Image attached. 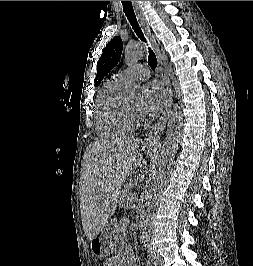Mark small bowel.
Returning <instances> with one entry per match:
<instances>
[{
  "instance_id": "c3829d8e",
  "label": "small bowel",
  "mask_w": 253,
  "mask_h": 266,
  "mask_svg": "<svg viewBox=\"0 0 253 266\" xmlns=\"http://www.w3.org/2000/svg\"><path fill=\"white\" fill-rule=\"evenodd\" d=\"M104 266H136V261L123 251H117L105 262Z\"/></svg>"
}]
</instances>
